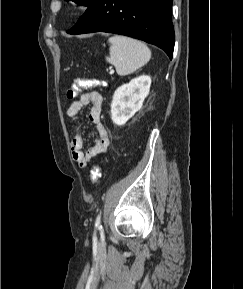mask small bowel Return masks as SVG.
I'll return each mask as SVG.
<instances>
[{
  "label": "small bowel",
  "instance_id": "obj_1",
  "mask_svg": "<svg viewBox=\"0 0 243 289\" xmlns=\"http://www.w3.org/2000/svg\"><path fill=\"white\" fill-rule=\"evenodd\" d=\"M103 97L97 91L84 93L76 101H73L68 110V116L78 123L81 119L80 111L86 105H91L88 118L96 127L95 141L87 149H84L83 139L76 135L71 140V153L73 160L80 168L87 167L91 160L104 153L109 146V133L101 121Z\"/></svg>",
  "mask_w": 243,
  "mask_h": 289
}]
</instances>
